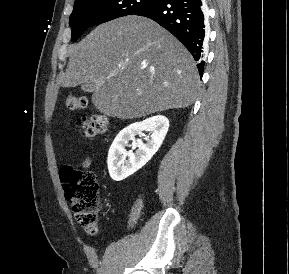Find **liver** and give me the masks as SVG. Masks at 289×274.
Listing matches in <instances>:
<instances>
[{"label": "liver", "instance_id": "6515ba94", "mask_svg": "<svg viewBox=\"0 0 289 274\" xmlns=\"http://www.w3.org/2000/svg\"><path fill=\"white\" fill-rule=\"evenodd\" d=\"M62 87L92 83L91 101L102 114L141 118L187 108L200 78L189 51L154 21L136 15L101 24L69 49Z\"/></svg>", "mask_w": 289, "mask_h": 274}]
</instances>
